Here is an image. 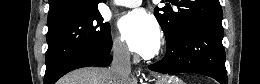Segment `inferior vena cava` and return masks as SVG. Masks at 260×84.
I'll use <instances>...</instances> for the list:
<instances>
[{
  "label": "inferior vena cava",
  "instance_id": "602c4592",
  "mask_svg": "<svg viewBox=\"0 0 260 84\" xmlns=\"http://www.w3.org/2000/svg\"><path fill=\"white\" fill-rule=\"evenodd\" d=\"M118 84H123L129 79L131 73L130 53L127 48H115L113 51V60L110 66Z\"/></svg>",
  "mask_w": 260,
  "mask_h": 84
}]
</instances>
